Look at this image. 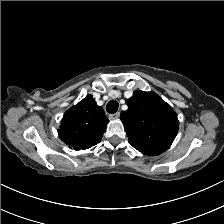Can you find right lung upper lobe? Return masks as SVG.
<instances>
[{
    "label": "right lung upper lobe",
    "instance_id": "obj_1",
    "mask_svg": "<svg viewBox=\"0 0 224 224\" xmlns=\"http://www.w3.org/2000/svg\"><path fill=\"white\" fill-rule=\"evenodd\" d=\"M108 118L91 95L71 107L58 130L60 139L75 150L88 149L101 141Z\"/></svg>",
    "mask_w": 224,
    "mask_h": 224
}]
</instances>
